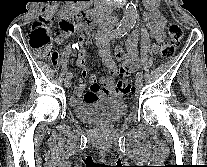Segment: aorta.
<instances>
[{"label":"aorta","instance_id":"762f6f07","mask_svg":"<svg viewBox=\"0 0 207 167\" xmlns=\"http://www.w3.org/2000/svg\"><path fill=\"white\" fill-rule=\"evenodd\" d=\"M137 12L135 6L132 3L127 4L125 15L122 18L119 27L117 28L118 33H125L129 31L136 23Z\"/></svg>","mask_w":207,"mask_h":167}]
</instances>
